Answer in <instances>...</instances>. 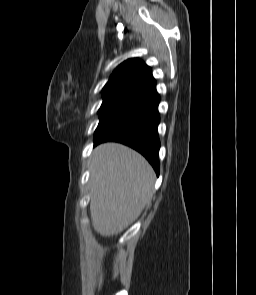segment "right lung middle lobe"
I'll return each mask as SVG.
<instances>
[{
	"instance_id": "dd1d6c3e",
	"label": "right lung middle lobe",
	"mask_w": 256,
	"mask_h": 295,
	"mask_svg": "<svg viewBox=\"0 0 256 295\" xmlns=\"http://www.w3.org/2000/svg\"><path fill=\"white\" fill-rule=\"evenodd\" d=\"M132 99H120L103 102L99 109V124L95 131L98 134L113 118H115Z\"/></svg>"
}]
</instances>
